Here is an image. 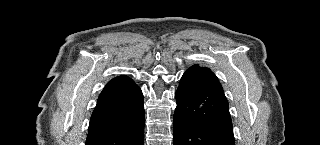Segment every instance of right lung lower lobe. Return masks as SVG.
Masks as SVG:
<instances>
[{"label":"right lung lower lobe","mask_w":320,"mask_h":145,"mask_svg":"<svg viewBox=\"0 0 320 145\" xmlns=\"http://www.w3.org/2000/svg\"><path fill=\"white\" fill-rule=\"evenodd\" d=\"M144 103L140 88L127 76L107 83L92 113L86 145H143Z\"/></svg>","instance_id":"obj_1"}]
</instances>
